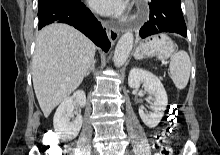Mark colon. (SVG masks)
Returning a JSON list of instances; mask_svg holds the SVG:
<instances>
[{
    "mask_svg": "<svg viewBox=\"0 0 220 155\" xmlns=\"http://www.w3.org/2000/svg\"><path fill=\"white\" fill-rule=\"evenodd\" d=\"M180 122L179 119V111L177 106H171L167 111L165 117V133H158V137H156L155 144H150V149H158L156 155H171V148L169 145L172 144L171 132H173ZM45 146L47 147V155H58L57 151L60 150V146L57 143H48L45 142Z\"/></svg>",
    "mask_w": 220,
    "mask_h": 155,
    "instance_id": "5ec220e1",
    "label": "colon"
}]
</instances>
